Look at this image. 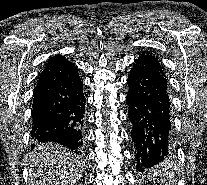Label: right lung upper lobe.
Instances as JSON below:
<instances>
[{"mask_svg":"<svg viewBox=\"0 0 207 185\" xmlns=\"http://www.w3.org/2000/svg\"><path fill=\"white\" fill-rule=\"evenodd\" d=\"M77 67L60 55L51 57L39 77L37 87L76 74Z\"/></svg>","mask_w":207,"mask_h":185,"instance_id":"right-lung-upper-lobe-1","label":"right lung upper lobe"}]
</instances>
